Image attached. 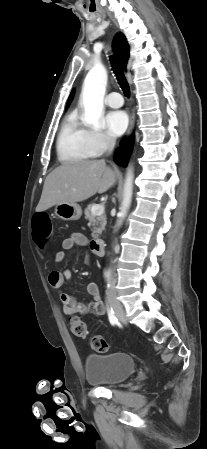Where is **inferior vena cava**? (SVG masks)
Instances as JSON below:
<instances>
[{"label": "inferior vena cava", "instance_id": "602c4592", "mask_svg": "<svg viewBox=\"0 0 207 449\" xmlns=\"http://www.w3.org/2000/svg\"><path fill=\"white\" fill-rule=\"evenodd\" d=\"M114 146H115V139L114 138H112V137H108V139H107V148H108V153H111L112 151H113V149H114ZM117 246L115 247V250H117ZM114 272L113 271H111V274H110V277H109V280H108V284H109V288H108V294L110 295V294H113V293H115V283H116V280L114 279Z\"/></svg>", "mask_w": 207, "mask_h": 449}]
</instances>
